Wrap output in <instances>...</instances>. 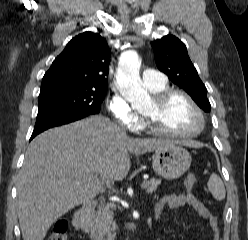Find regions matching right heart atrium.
Wrapping results in <instances>:
<instances>
[{
	"label": "right heart atrium",
	"instance_id": "obj_1",
	"mask_svg": "<svg viewBox=\"0 0 248 240\" xmlns=\"http://www.w3.org/2000/svg\"><path fill=\"white\" fill-rule=\"evenodd\" d=\"M108 110L118 123L131 131H137L143 125L142 118L119 93H114L108 99Z\"/></svg>",
	"mask_w": 248,
	"mask_h": 240
}]
</instances>
